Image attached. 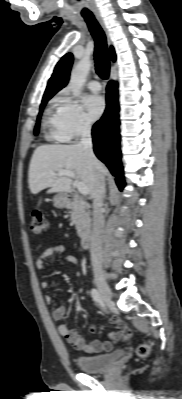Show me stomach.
Segmentation results:
<instances>
[{"instance_id":"obj_1","label":"stomach","mask_w":182,"mask_h":399,"mask_svg":"<svg viewBox=\"0 0 182 399\" xmlns=\"http://www.w3.org/2000/svg\"><path fill=\"white\" fill-rule=\"evenodd\" d=\"M54 206L57 208H66L69 206V198L66 193H58L53 197Z\"/></svg>"}]
</instances>
